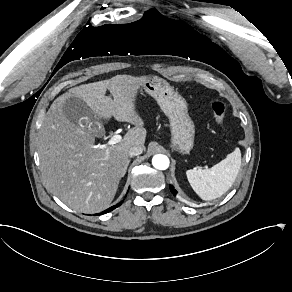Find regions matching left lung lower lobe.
Returning a JSON list of instances; mask_svg holds the SVG:
<instances>
[{
	"mask_svg": "<svg viewBox=\"0 0 292 292\" xmlns=\"http://www.w3.org/2000/svg\"><path fill=\"white\" fill-rule=\"evenodd\" d=\"M170 190H171L172 194L175 196L177 191L174 189V187L172 185H170Z\"/></svg>",
	"mask_w": 292,
	"mask_h": 292,
	"instance_id": "0a47b994",
	"label": "left lung lower lobe"
}]
</instances>
